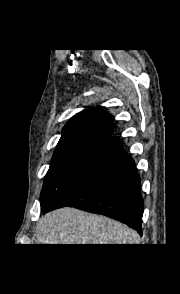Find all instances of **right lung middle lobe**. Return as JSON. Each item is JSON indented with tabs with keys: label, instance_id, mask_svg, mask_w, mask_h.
I'll use <instances>...</instances> for the list:
<instances>
[{
	"label": "right lung middle lobe",
	"instance_id": "right-lung-middle-lobe-1",
	"mask_svg": "<svg viewBox=\"0 0 180 294\" xmlns=\"http://www.w3.org/2000/svg\"><path fill=\"white\" fill-rule=\"evenodd\" d=\"M99 145L93 142H76L57 146L44 179L40 198L42 208L70 182Z\"/></svg>",
	"mask_w": 180,
	"mask_h": 294
}]
</instances>
